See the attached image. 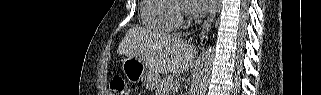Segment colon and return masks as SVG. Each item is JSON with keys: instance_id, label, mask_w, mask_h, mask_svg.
<instances>
[{"instance_id": "1", "label": "colon", "mask_w": 321, "mask_h": 95, "mask_svg": "<svg viewBox=\"0 0 321 95\" xmlns=\"http://www.w3.org/2000/svg\"><path fill=\"white\" fill-rule=\"evenodd\" d=\"M110 89L114 94H118V95L130 94L127 84L125 83L124 79L119 75L113 76L110 82Z\"/></svg>"}]
</instances>
